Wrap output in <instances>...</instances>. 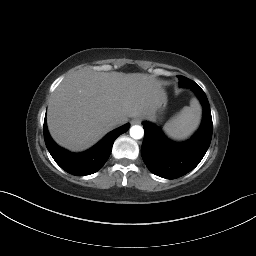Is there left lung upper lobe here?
I'll return each mask as SVG.
<instances>
[{
	"label": "left lung upper lobe",
	"instance_id": "5c2ea615",
	"mask_svg": "<svg viewBox=\"0 0 256 256\" xmlns=\"http://www.w3.org/2000/svg\"><path fill=\"white\" fill-rule=\"evenodd\" d=\"M179 78V85L181 87H186V83L188 81V78L184 77V76H178Z\"/></svg>",
	"mask_w": 256,
	"mask_h": 256
}]
</instances>
